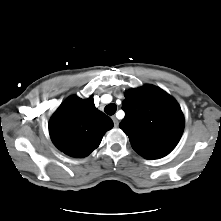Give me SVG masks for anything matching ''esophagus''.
Masks as SVG:
<instances>
[{
	"mask_svg": "<svg viewBox=\"0 0 221 221\" xmlns=\"http://www.w3.org/2000/svg\"><path fill=\"white\" fill-rule=\"evenodd\" d=\"M112 120H113L114 126H115V127H118V125H119V120L117 119V117H116V116H112Z\"/></svg>",
	"mask_w": 221,
	"mask_h": 221,
	"instance_id": "34e87169",
	"label": "esophagus"
}]
</instances>
